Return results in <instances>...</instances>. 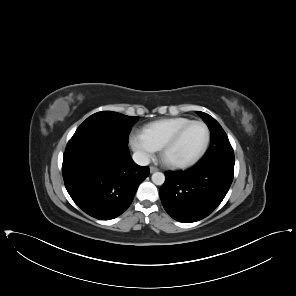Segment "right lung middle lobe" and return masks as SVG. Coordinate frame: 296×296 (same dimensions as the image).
<instances>
[{
    "label": "right lung middle lobe",
    "mask_w": 296,
    "mask_h": 296,
    "mask_svg": "<svg viewBox=\"0 0 296 296\" xmlns=\"http://www.w3.org/2000/svg\"><path fill=\"white\" fill-rule=\"evenodd\" d=\"M138 119L112 111L98 112L88 117L72 138L101 136L128 144V135Z\"/></svg>",
    "instance_id": "right-lung-middle-lobe-1"
}]
</instances>
